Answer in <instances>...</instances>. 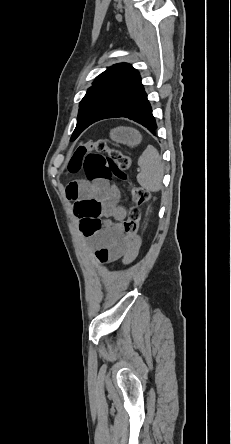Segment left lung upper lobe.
I'll return each instance as SVG.
<instances>
[{"instance_id": "left-lung-upper-lobe-1", "label": "left lung upper lobe", "mask_w": 231, "mask_h": 444, "mask_svg": "<svg viewBox=\"0 0 231 444\" xmlns=\"http://www.w3.org/2000/svg\"><path fill=\"white\" fill-rule=\"evenodd\" d=\"M141 86L138 71L127 63L109 67L97 76L80 102L71 140H75L92 123L115 115Z\"/></svg>"}]
</instances>
